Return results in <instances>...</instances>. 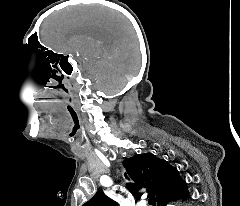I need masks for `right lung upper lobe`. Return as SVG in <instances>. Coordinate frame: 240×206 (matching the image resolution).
<instances>
[{"mask_svg":"<svg viewBox=\"0 0 240 206\" xmlns=\"http://www.w3.org/2000/svg\"><path fill=\"white\" fill-rule=\"evenodd\" d=\"M123 165L134 182L128 183L127 187L135 194L136 201L142 195V193H138L141 188H146L149 195L154 196L158 204L186 184L176 168L152 153L137 154L127 158ZM115 204L103 192L98 191L83 206H113Z\"/></svg>","mask_w":240,"mask_h":206,"instance_id":"cb5924a9","label":"right lung upper lobe"}]
</instances>
